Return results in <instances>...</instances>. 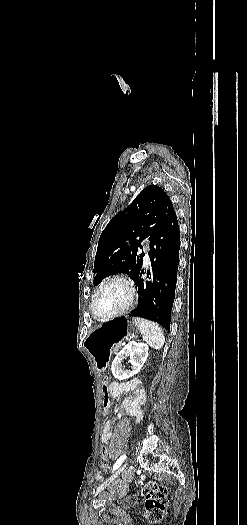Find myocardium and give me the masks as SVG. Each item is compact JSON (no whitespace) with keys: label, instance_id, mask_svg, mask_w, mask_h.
<instances>
[{"label":"myocardium","instance_id":"1","mask_svg":"<svg viewBox=\"0 0 247 525\" xmlns=\"http://www.w3.org/2000/svg\"><path fill=\"white\" fill-rule=\"evenodd\" d=\"M111 282H121L123 283L124 285H126L129 289V297L127 299V301L122 305L120 306L119 308L113 310V311H110V312H106V313H102L100 311H98L95 307V299H96V296L98 294V292L101 290V288L108 284V283H111ZM134 297H135V284H134V281L132 280V278L126 274H123V273H116V274H113L109 277H107L106 279L102 280L98 285L97 287L95 288L93 294H92V297H91V300H90V308H91V311H92V314L94 315V317L98 318V319H109V318H113L117 315H121L123 313H125L128 308L132 305L133 303V300H134Z\"/></svg>","mask_w":247,"mask_h":525}]
</instances>
